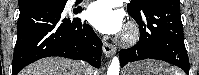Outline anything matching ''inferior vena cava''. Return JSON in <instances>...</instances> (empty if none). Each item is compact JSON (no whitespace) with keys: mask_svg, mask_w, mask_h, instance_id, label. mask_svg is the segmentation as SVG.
Returning <instances> with one entry per match:
<instances>
[{"mask_svg":"<svg viewBox=\"0 0 199 75\" xmlns=\"http://www.w3.org/2000/svg\"><path fill=\"white\" fill-rule=\"evenodd\" d=\"M83 64H84V63H83ZM84 65H85V67H86V69H87L88 74H91V72H93V69L90 68L89 66H87V64H84Z\"/></svg>","mask_w":199,"mask_h":75,"instance_id":"1","label":"inferior vena cava"}]
</instances>
